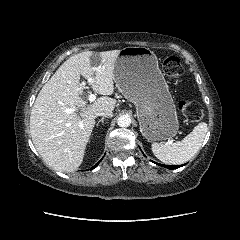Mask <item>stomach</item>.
Wrapping results in <instances>:
<instances>
[{
  "instance_id": "stomach-1",
  "label": "stomach",
  "mask_w": 240,
  "mask_h": 240,
  "mask_svg": "<svg viewBox=\"0 0 240 240\" xmlns=\"http://www.w3.org/2000/svg\"><path fill=\"white\" fill-rule=\"evenodd\" d=\"M113 73L118 90L136 106L142 135L151 141L174 137L179 129L176 106L154 52L140 46L123 48Z\"/></svg>"
}]
</instances>
